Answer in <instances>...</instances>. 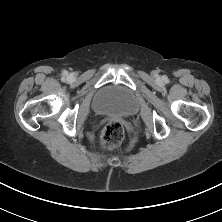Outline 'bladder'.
I'll return each instance as SVG.
<instances>
[{
	"mask_svg": "<svg viewBox=\"0 0 222 222\" xmlns=\"http://www.w3.org/2000/svg\"><path fill=\"white\" fill-rule=\"evenodd\" d=\"M92 107L99 116L128 117L137 112L138 101L134 93L127 87L108 85L95 94Z\"/></svg>",
	"mask_w": 222,
	"mask_h": 222,
	"instance_id": "1",
	"label": "bladder"
}]
</instances>
